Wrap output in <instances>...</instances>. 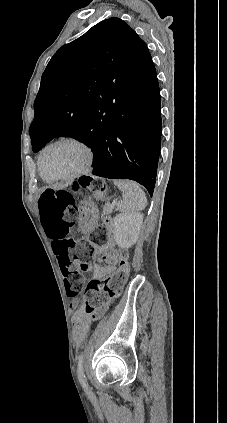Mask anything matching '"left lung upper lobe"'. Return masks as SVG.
I'll return each mask as SVG.
<instances>
[{
	"label": "left lung upper lobe",
	"mask_w": 227,
	"mask_h": 423,
	"mask_svg": "<svg viewBox=\"0 0 227 423\" xmlns=\"http://www.w3.org/2000/svg\"><path fill=\"white\" fill-rule=\"evenodd\" d=\"M156 75L146 43L123 20L101 21L51 58L34 102L33 152L55 137L84 139L106 112H136Z\"/></svg>",
	"instance_id": "1"
}]
</instances>
